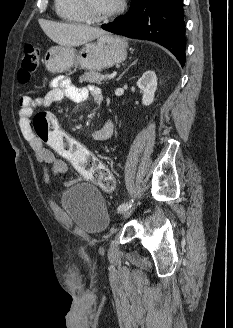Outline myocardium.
Masks as SVG:
<instances>
[{"label": "myocardium", "instance_id": "obj_1", "mask_svg": "<svg viewBox=\"0 0 233 328\" xmlns=\"http://www.w3.org/2000/svg\"><path fill=\"white\" fill-rule=\"evenodd\" d=\"M79 3H80V7L85 15L86 20L91 23H100V22L108 21V20L116 17L120 13H122L125 8L124 0H120L118 2V5L110 12L102 14V15H95L92 13V11L90 9L88 0H79Z\"/></svg>", "mask_w": 233, "mask_h": 328}]
</instances>
